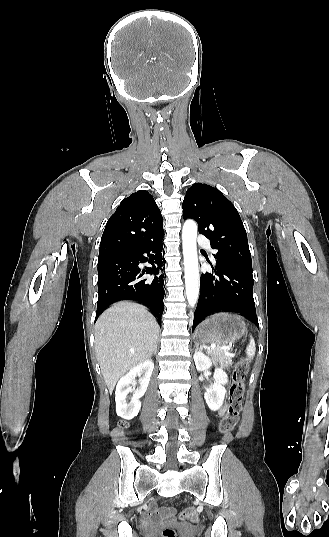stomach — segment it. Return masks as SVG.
Masks as SVG:
<instances>
[{
  "label": "stomach",
  "instance_id": "0dacf381",
  "mask_svg": "<svg viewBox=\"0 0 329 537\" xmlns=\"http://www.w3.org/2000/svg\"><path fill=\"white\" fill-rule=\"evenodd\" d=\"M247 331L244 319L232 313H218L203 321L196 329L195 339L200 344H226L241 338Z\"/></svg>",
  "mask_w": 329,
  "mask_h": 537
}]
</instances>
